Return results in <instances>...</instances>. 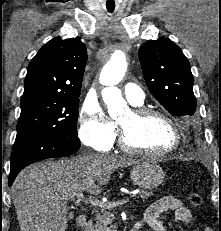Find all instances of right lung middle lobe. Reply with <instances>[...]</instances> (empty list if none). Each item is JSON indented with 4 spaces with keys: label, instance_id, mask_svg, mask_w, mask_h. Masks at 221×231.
<instances>
[{
    "label": "right lung middle lobe",
    "instance_id": "1",
    "mask_svg": "<svg viewBox=\"0 0 221 231\" xmlns=\"http://www.w3.org/2000/svg\"><path fill=\"white\" fill-rule=\"evenodd\" d=\"M78 97L39 96L21 100L14 146L42 135L78 138Z\"/></svg>",
    "mask_w": 221,
    "mask_h": 231
}]
</instances>
